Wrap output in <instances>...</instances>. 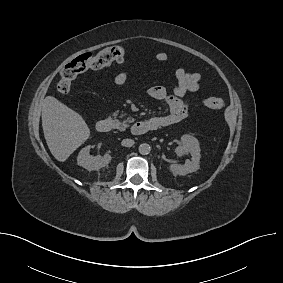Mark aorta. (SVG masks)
<instances>
[{
  "label": "aorta",
  "instance_id": "1",
  "mask_svg": "<svg viewBox=\"0 0 283 283\" xmlns=\"http://www.w3.org/2000/svg\"><path fill=\"white\" fill-rule=\"evenodd\" d=\"M150 151H151V147L147 143H143L139 146V153L142 155H147L150 153Z\"/></svg>",
  "mask_w": 283,
  "mask_h": 283
}]
</instances>
